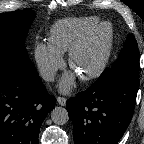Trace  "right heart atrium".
I'll return each mask as SVG.
<instances>
[{
    "mask_svg": "<svg viewBox=\"0 0 144 144\" xmlns=\"http://www.w3.org/2000/svg\"><path fill=\"white\" fill-rule=\"evenodd\" d=\"M33 54L40 74L47 81L54 80L57 72L64 67L62 54L51 46L50 43H37Z\"/></svg>",
    "mask_w": 144,
    "mask_h": 144,
    "instance_id": "obj_1",
    "label": "right heart atrium"
}]
</instances>
